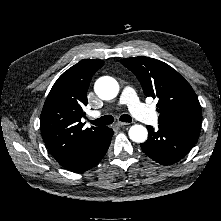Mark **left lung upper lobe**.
<instances>
[{"label": "left lung upper lobe", "instance_id": "5c2ea615", "mask_svg": "<svg viewBox=\"0 0 221 221\" xmlns=\"http://www.w3.org/2000/svg\"><path fill=\"white\" fill-rule=\"evenodd\" d=\"M132 71L146 96L158 98L159 125L199 130L202 110L189 83L166 63L139 56L120 61Z\"/></svg>", "mask_w": 221, "mask_h": 221}]
</instances>
